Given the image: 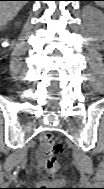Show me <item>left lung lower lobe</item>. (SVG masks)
Listing matches in <instances>:
<instances>
[{
    "instance_id": "left-lung-lower-lobe-1",
    "label": "left lung lower lobe",
    "mask_w": 104,
    "mask_h": 189,
    "mask_svg": "<svg viewBox=\"0 0 104 189\" xmlns=\"http://www.w3.org/2000/svg\"><path fill=\"white\" fill-rule=\"evenodd\" d=\"M79 1H98V0H79Z\"/></svg>"
}]
</instances>
